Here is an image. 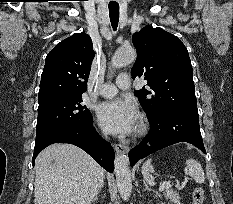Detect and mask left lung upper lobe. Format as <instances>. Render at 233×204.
I'll list each match as a JSON object with an SVG mask.
<instances>
[{
	"instance_id": "5c2ea615",
	"label": "left lung upper lobe",
	"mask_w": 233,
	"mask_h": 204,
	"mask_svg": "<svg viewBox=\"0 0 233 204\" xmlns=\"http://www.w3.org/2000/svg\"><path fill=\"white\" fill-rule=\"evenodd\" d=\"M137 59L132 76L144 75L148 89L135 91L149 118L167 111L197 113L192 65L184 44L161 28L133 34Z\"/></svg>"
}]
</instances>
